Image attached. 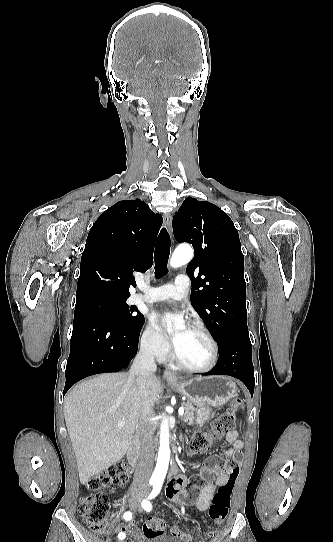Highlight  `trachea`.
<instances>
[{"label": "trachea", "mask_w": 333, "mask_h": 542, "mask_svg": "<svg viewBox=\"0 0 333 542\" xmlns=\"http://www.w3.org/2000/svg\"><path fill=\"white\" fill-rule=\"evenodd\" d=\"M170 254V236L165 228H162L155 245V277L159 278L167 271V261Z\"/></svg>", "instance_id": "1"}]
</instances>
